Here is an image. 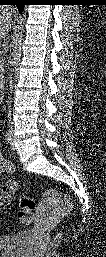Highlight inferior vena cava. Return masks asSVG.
I'll return each mask as SVG.
<instances>
[{
	"instance_id": "602c4592",
	"label": "inferior vena cava",
	"mask_w": 106,
	"mask_h": 257,
	"mask_svg": "<svg viewBox=\"0 0 106 257\" xmlns=\"http://www.w3.org/2000/svg\"><path fill=\"white\" fill-rule=\"evenodd\" d=\"M8 111H9L8 118H11V106L9 102H8ZM9 123H11V119H9Z\"/></svg>"
}]
</instances>
